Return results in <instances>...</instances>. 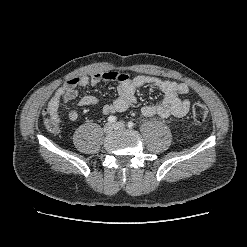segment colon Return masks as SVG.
Listing matches in <instances>:
<instances>
[{"label": "colon", "mask_w": 247, "mask_h": 247, "mask_svg": "<svg viewBox=\"0 0 247 247\" xmlns=\"http://www.w3.org/2000/svg\"><path fill=\"white\" fill-rule=\"evenodd\" d=\"M192 117L196 122H203L207 119L208 117V108L204 104H195L192 107ZM46 119H45V124L48 130H54L55 125L53 122L49 119L47 110L45 111Z\"/></svg>", "instance_id": "colon-1"}]
</instances>
